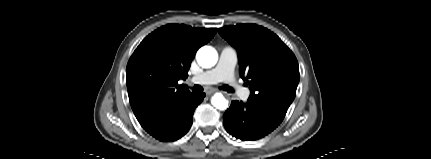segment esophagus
Wrapping results in <instances>:
<instances>
[{
	"mask_svg": "<svg viewBox=\"0 0 431 159\" xmlns=\"http://www.w3.org/2000/svg\"><path fill=\"white\" fill-rule=\"evenodd\" d=\"M214 92H216V90H215V89H209V90H207V91H206V94H207V95H211V94H213Z\"/></svg>",
	"mask_w": 431,
	"mask_h": 159,
	"instance_id": "34e87169",
	"label": "esophagus"
}]
</instances>
